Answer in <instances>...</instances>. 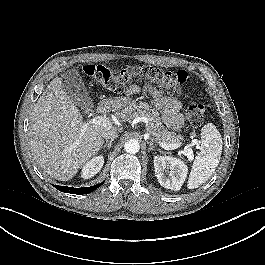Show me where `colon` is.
<instances>
[{
	"label": "colon",
	"mask_w": 265,
	"mask_h": 265,
	"mask_svg": "<svg viewBox=\"0 0 265 265\" xmlns=\"http://www.w3.org/2000/svg\"><path fill=\"white\" fill-rule=\"evenodd\" d=\"M83 73L110 92L122 93L135 81H144L158 86L168 94L181 95L185 91L188 74L185 71H165L153 66L136 65L114 71L100 64H86ZM205 106L194 99L186 109L188 121L199 126L204 119Z\"/></svg>",
	"instance_id": "1"
}]
</instances>
